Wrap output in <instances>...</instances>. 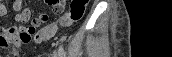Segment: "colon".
Wrapping results in <instances>:
<instances>
[{
	"instance_id": "colon-1",
	"label": "colon",
	"mask_w": 172,
	"mask_h": 57,
	"mask_svg": "<svg viewBox=\"0 0 172 57\" xmlns=\"http://www.w3.org/2000/svg\"><path fill=\"white\" fill-rule=\"evenodd\" d=\"M56 4H63V0H53ZM89 0H72L69 5L68 11H66L59 20V25L62 27H68L75 22H78L84 15L86 6ZM23 13H26L24 11ZM57 27L55 25H48L41 33L40 36L43 38H51Z\"/></svg>"
}]
</instances>
